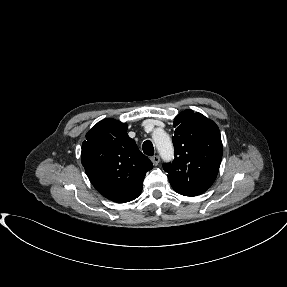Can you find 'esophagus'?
I'll return each mask as SVG.
<instances>
[{"mask_svg": "<svg viewBox=\"0 0 287 287\" xmlns=\"http://www.w3.org/2000/svg\"><path fill=\"white\" fill-rule=\"evenodd\" d=\"M151 161L156 166L160 162V157L158 155H154V156L151 157Z\"/></svg>", "mask_w": 287, "mask_h": 287, "instance_id": "1", "label": "esophagus"}]
</instances>
